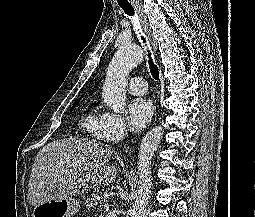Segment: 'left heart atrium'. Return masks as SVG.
Here are the masks:
<instances>
[{
	"label": "left heart atrium",
	"instance_id": "obj_1",
	"mask_svg": "<svg viewBox=\"0 0 255 217\" xmlns=\"http://www.w3.org/2000/svg\"><path fill=\"white\" fill-rule=\"evenodd\" d=\"M153 113V106L150 100L137 98L128 105V121L133 131L144 128L150 121Z\"/></svg>",
	"mask_w": 255,
	"mask_h": 217
}]
</instances>
